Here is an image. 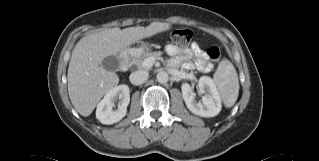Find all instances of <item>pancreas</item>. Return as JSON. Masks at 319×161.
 Listing matches in <instances>:
<instances>
[{
    "mask_svg": "<svg viewBox=\"0 0 319 161\" xmlns=\"http://www.w3.org/2000/svg\"><path fill=\"white\" fill-rule=\"evenodd\" d=\"M140 54L133 57L131 60V64L132 65H136L138 68L142 69H149L150 67H144L143 66V62L145 61V59L149 58V57H153L155 59L159 58L161 55V52H145V51H140Z\"/></svg>",
    "mask_w": 319,
    "mask_h": 161,
    "instance_id": "obj_1",
    "label": "pancreas"
}]
</instances>
